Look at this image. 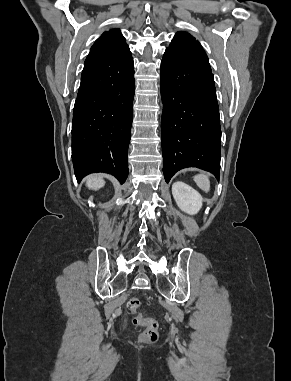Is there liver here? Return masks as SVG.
I'll return each mask as SVG.
<instances>
[{"instance_id": "obj_1", "label": "liver", "mask_w": 291, "mask_h": 381, "mask_svg": "<svg viewBox=\"0 0 291 381\" xmlns=\"http://www.w3.org/2000/svg\"><path fill=\"white\" fill-rule=\"evenodd\" d=\"M86 185L90 189L97 190L105 185V181L101 176L91 175L87 178Z\"/></svg>"}]
</instances>
